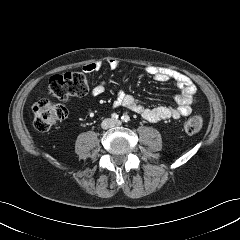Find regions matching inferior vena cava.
Returning a JSON list of instances; mask_svg holds the SVG:
<instances>
[{
    "label": "inferior vena cava",
    "mask_w": 240,
    "mask_h": 240,
    "mask_svg": "<svg viewBox=\"0 0 240 240\" xmlns=\"http://www.w3.org/2000/svg\"><path fill=\"white\" fill-rule=\"evenodd\" d=\"M103 127H104V128H107L108 126H105V125H104Z\"/></svg>",
    "instance_id": "obj_1"
}]
</instances>
